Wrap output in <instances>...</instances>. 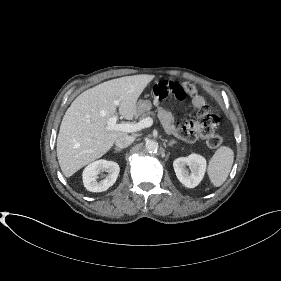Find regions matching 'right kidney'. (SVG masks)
Instances as JSON below:
<instances>
[{
  "label": "right kidney",
  "instance_id": "1",
  "mask_svg": "<svg viewBox=\"0 0 281 281\" xmlns=\"http://www.w3.org/2000/svg\"><path fill=\"white\" fill-rule=\"evenodd\" d=\"M103 171L108 174L103 180L98 181V175ZM119 172L120 167L114 161L101 159L92 162L83 171L84 187L91 192L106 191L116 182Z\"/></svg>",
  "mask_w": 281,
  "mask_h": 281
}]
</instances>
